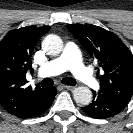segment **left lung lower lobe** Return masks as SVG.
Masks as SVG:
<instances>
[{
  "label": "left lung lower lobe",
  "mask_w": 133,
  "mask_h": 133,
  "mask_svg": "<svg viewBox=\"0 0 133 133\" xmlns=\"http://www.w3.org/2000/svg\"><path fill=\"white\" fill-rule=\"evenodd\" d=\"M92 103L82 108L86 115L92 118L104 119L120 113L127 104L93 92Z\"/></svg>",
  "instance_id": "left-lung-lower-lobe-1"
}]
</instances>
